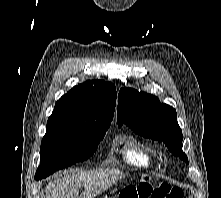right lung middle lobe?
Wrapping results in <instances>:
<instances>
[{
  "mask_svg": "<svg viewBox=\"0 0 221 198\" xmlns=\"http://www.w3.org/2000/svg\"><path fill=\"white\" fill-rule=\"evenodd\" d=\"M109 127L88 133L46 132L41 142L40 165L35 179H43L55 171L87 160L96 151Z\"/></svg>",
  "mask_w": 221,
  "mask_h": 198,
  "instance_id": "obj_1",
  "label": "right lung middle lobe"
}]
</instances>
